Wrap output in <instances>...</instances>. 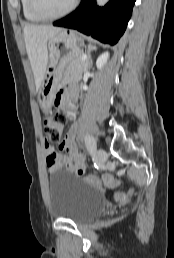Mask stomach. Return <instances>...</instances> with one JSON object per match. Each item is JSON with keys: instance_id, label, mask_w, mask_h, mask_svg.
Wrapping results in <instances>:
<instances>
[{"instance_id": "obj_1", "label": "stomach", "mask_w": 174, "mask_h": 258, "mask_svg": "<svg viewBox=\"0 0 174 258\" xmlns=\"http://www.w3.org/2000/svg\"><path fill=\"white\" fill-rule=\"evenodd\" d=\"M81 46V39L72 30H61L49 39V65L39 91V103L43 112L48 113L51 109L64 68L82 54Z\"/></svg>"}]
</instances>
